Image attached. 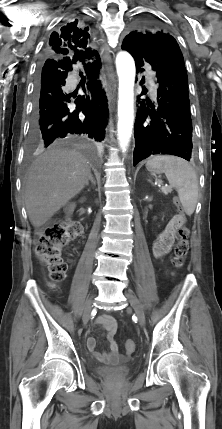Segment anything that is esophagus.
I'll return each mask as SVG.
<instances>
[{
    "label": "esophagus",
    "mask_w": 222,
    "mask_h": 429,
    "mask_svg": "<svg viewBox=\"0 0 222 429\" xmlns=\"http://www.w3.org/2000/svg\"><path fill=\"white\" fill-rule=\"evenodd\" d=\"M102 58L104 60V62L106 63L107 67H108V78L109 80H113L114 79V73L112 71V67H111V49L110 46L107 44L106 39L103 37L102 39Z\"/></svg>",
    "instance_id": "34e87169"
}]
</instances>
